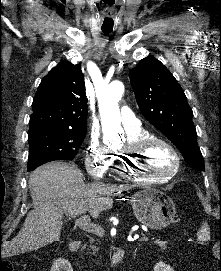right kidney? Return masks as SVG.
<instances>
[{
	"label": "right kidney",
	"mask_w": 221,
	"mask_h": 271,
	"mask_svg": "<svg viewBox=\"0 0 221 271\" xmlns=\"http://www.w3.org/2000/svg\"><path fill=\"white\" fill-rule=\"evenodd\" d=\"M50 271H73V269L68 259H64V257H58V259H54Z\"/></svg>",
	"instance_id": "obj_1"
}]
</instances>
